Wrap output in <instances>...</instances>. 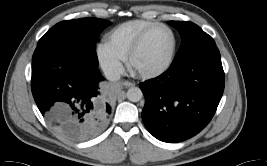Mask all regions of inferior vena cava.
I'll return each mask as SVG.
<instances>
[{"instance_id":"inferior-vena-cava-1","label":"inferior vena cava","mask_w":267,"mask_h":166,"mask_svg":"<svg viewBox=\"0 0 267 166\" xmlns=\"http://www.w3.org/2000/svg\"><path fill=\"white\" fill-rule=\"evenodd\" d=\"M103 72L105 74V77L110 81H116L120 79V72L118 71V69L112 66L105 67L103 69Z\"/></svg>"}]
</instances>
